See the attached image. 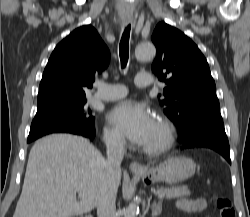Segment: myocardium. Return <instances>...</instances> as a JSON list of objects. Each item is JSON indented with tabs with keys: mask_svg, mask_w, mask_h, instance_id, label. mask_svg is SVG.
<instances>
[{
	"mask_svg": "<svg viewBox=\"0 0 250 217\" xmlns=\"http://www.w3.org/2000/svg\"><path fill=\"white\" fill-rule=\"evenodd\" d=\"M156 120L162 129L163 138L157 145L143 148V151L149 155H159L168 151L175 139V128L172 122L163 115H158Z\"/></svg>",
	"mask_w": 250,
	"mask_h": 217,
	"instance_id": "f54148a6",
	"label": "myocardium"
}]
</instances>
